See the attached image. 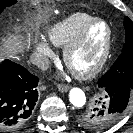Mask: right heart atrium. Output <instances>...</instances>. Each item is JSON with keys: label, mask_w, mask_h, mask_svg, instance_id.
Wrapping results in <instances>:
<instances>
[{"label": "right heart atrium", "mask_w": 133, "mask_h": 133, "mask_svg": "<svg viewBox=\"0 0 133 133\" xmlns=\"http://www.w3.org/2000/svg\"><path fill=\"white\" fill-rule=\"evenodd\" d=\"M34 48L46 58H52L54 56L51 45L44 38H36L34 40Z\"/></svg>", "instance_id": "obj_1"}]
</instances>
